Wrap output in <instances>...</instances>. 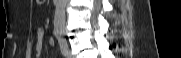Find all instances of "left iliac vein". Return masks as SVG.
<instances>
[{"instance_id": "1", "label": "left iliac vein", "mask_w": 181, "mask_h": 58, "mask_svg": "<svg viewBox=\"0 0 181 58\" xmlns=\"http://www.w3.org/2000/svg\"><path fill=\"white\" fill-rule=\"evenodd\" d=\"M67 58H73L70 51H68Z\"/></svg>"}]
</instances>
